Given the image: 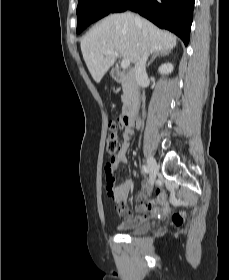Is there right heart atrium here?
Segmentation results:
<instances>
[{"label":"right heart atrium","instance_id":"1","mask_svg":"<svg viewBox=\"0 0 229 280\" xmlns=\"http://www.w3.org/2000/svg\"><path fill=\"white\" fill-rule=\"evenodd\" d=\"M106 1L111 2L112 0H106Z\"/></svg>","mask_w":229,"mask_h":280}]
</instances>
